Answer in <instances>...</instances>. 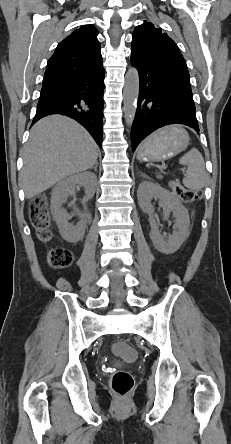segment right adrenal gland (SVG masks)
I'll use <instances>...</instances> for the list:
<instances>
[{
    "instance_id": "right-adrenal-gland-1",
    "label": "right adrenal gland",
    "mask_w": 231,
    "mask_h": 444,
    "mask_svg": "<svg viewBox=\"0 0 231 444\" xmlns=\"http://www.w3.org/2000/svg\"><path fill=\"white\" fill-rule=\"evenodd\" d=\"M97 167H98V163L96 162L95 165L92 167V169H94V171L97 172Z\"/></svg>"
}]
</instances>
